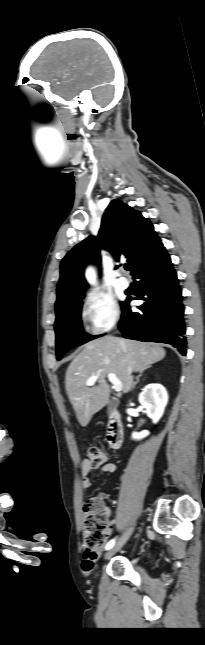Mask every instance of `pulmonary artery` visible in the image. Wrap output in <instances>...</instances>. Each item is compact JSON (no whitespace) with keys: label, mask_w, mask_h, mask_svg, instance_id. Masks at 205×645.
Here are the masks:
<instances>
[{"label":"pulmonary artery","mask_w":205,"mask_h":645,"mask_svg":"<svg viewBox=\"0 0 205 645\" xmlns=\"http://www.w3.org/2000/svg\"><path fill=\"white\" fill-rule=\"evenodd\" d=\"M118 284L122 289H127L130 286L129 280L123 275L119 276Z\"/></svg>","instance_id":"obj_1"}]
</instances>
